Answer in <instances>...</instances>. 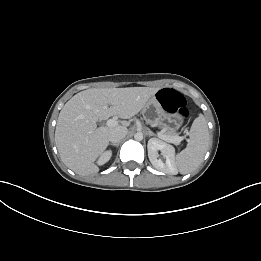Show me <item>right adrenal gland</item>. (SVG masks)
I'll return each mask as SVG.
<instances>
[{
  "label": "right adrenal gland",
  "mask_w": 261,
  "mask_h": 261,
  "mask_svg": "<svg viewBox=\"0 0 261 261\" xmlns=\"http://www.w3.org/2000/svg\"><path fill=\"white\" fill-rule=\"evenodd\" d=\"M111 146H116V147H118L119 146V143H117V144H110Z\"/></svg>",
  "instance_id": "obj_1"
}]
</instances>
